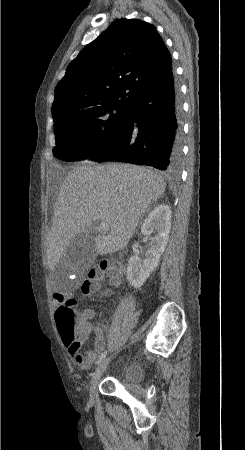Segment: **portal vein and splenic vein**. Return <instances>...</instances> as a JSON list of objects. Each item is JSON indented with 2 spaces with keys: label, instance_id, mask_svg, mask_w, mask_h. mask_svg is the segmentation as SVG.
Here are the masks:
<instances>
[{
  "label": "portal vein and splenic vein",
  "instance_id": "18ae733b",
  "mask_svg": "<svg viewBox=\"0 0 245 450\" xmlns=\"http://www.w3.org/2000/svg\"><path fill=\"white\" fill-rule=\"evenodd\" d=\"M98 229L101 232L105 233V232H107L109 230V225L107 223H105V222H101L99 227H98Z\"/></svg>",
  "mask_w": 245,
  "mask_h": 450
}]
</instances>
